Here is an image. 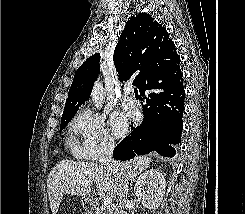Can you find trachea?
<instances>
[{"mask_svg":"<svg viewBox=\"0 0 245 214\" xmlns=\"http://www.w3.org/2000/svg\"><path fill=\"white\" fill-rule=\"evenodd\" d=\"M134 93H135V97H136V98H139L138 90H137L136 88L134 89Z\"/></svg>","mask_w":245,"mask_h":214,"instance_id":"1","label":"trachea"}]
</instances>
